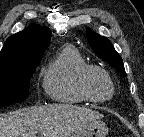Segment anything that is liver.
<instances>
[{
    "label": "liver",
    "mask_w": 144,
    "mask_h": 137,
    "mask_svg": "<svg viewBox=\"0 0 144 137\" xmlns=\"http://www.w3.org/2000/svg\"><path fill=\"white\" fill-rule=\"evenodd\" d=\"M103 117L68 104L28 107L0 118V137H70L78 128Z\"/></svg>",
    "instance_id": "6515ba94"
}]
</instances>
